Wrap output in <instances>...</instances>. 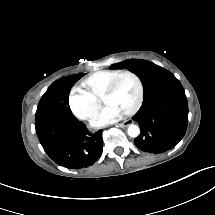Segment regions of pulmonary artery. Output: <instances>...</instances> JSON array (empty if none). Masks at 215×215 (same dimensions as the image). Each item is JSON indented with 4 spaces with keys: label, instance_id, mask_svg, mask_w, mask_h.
<instances>
[{
    "label": "pulmonary artery",
    "instance_id": "1",
    "mask_svg": "<svg viewBox=\"0 0 215 215\" xmlns=\"http://www.w3.org/2000/svg\"><path fill=\"white\" fill-rule=\"evenodd\" d=\"M93 84L96 87H103L106 84V77L103 74H96L93 77Z\"/></svg>",
    "mask_w": 215,
    "mask_h": 215
}]
</instances>
